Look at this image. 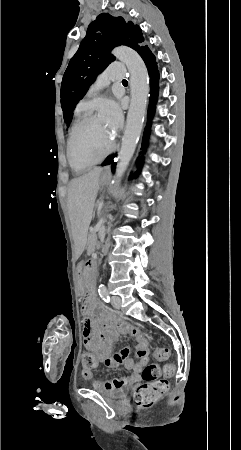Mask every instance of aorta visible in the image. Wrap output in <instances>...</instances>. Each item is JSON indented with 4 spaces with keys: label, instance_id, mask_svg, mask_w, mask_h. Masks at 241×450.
Instances as JSON below:
<instances>
[{
    "label": "aorta",
    "instance_id": "aorta-1",
    "mask_svg": "<svg viewBox=\"0 0 241 450\" xmlns=\"http://www.w3.org/2000/svg\"><path fill=\"white\" fill-rule=\"evenodd\" d=\"M113 54L127 66L131 88V101L115 172V181L118 184L130 163L142 132L149 78L144 61L136 51L121 46L115 48Z\"/></svg>",
    "mask_w": 241,
    "mask_h": 450
}]
</instances>
